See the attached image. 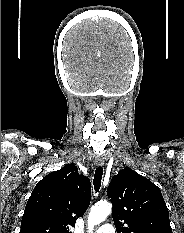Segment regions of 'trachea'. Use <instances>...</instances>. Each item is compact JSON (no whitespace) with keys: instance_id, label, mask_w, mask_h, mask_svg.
<instances>
[{"instance_id":"trachea-1","label":"trachea","mask_w":184,"mask_h":233,"mask_svg":"<svg viewBox=\"0 0 184 233\" xmlns=\"http://www.w3.org/2000/svg\"><path fill=\"white\" fill-rule=\"evenodd\" d=\"M102 175H103V168L102 167H97L96 171H95L94 179H93L94 190H95L96 193L100 189Z\"/></svg>"}]
</instances>
